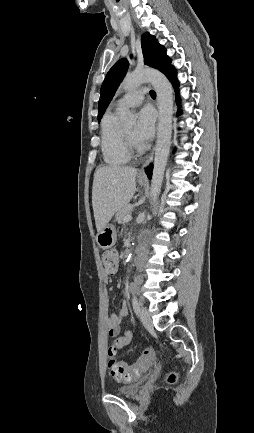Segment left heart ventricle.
I'll return each instance as SVG.
<instances>
[{"mask_svg": "<svg viewBox=\"0 0 254 433\" xmlns=\"http://www.w3.org/2000/svg\"><path fill=\"white\" fill-rule=\"evenodd\" d=\"M134 130H135V127H134V125H130V126H128V127H125L124 128V131L133 139V140H135L136 141V139H135V137H134Z\"/></svg>", "mask_w": 254, "mask_h": 433, "instance_id": "b2bd125f", "label": "left heart ventricle"}]
</instances>
